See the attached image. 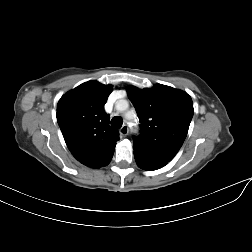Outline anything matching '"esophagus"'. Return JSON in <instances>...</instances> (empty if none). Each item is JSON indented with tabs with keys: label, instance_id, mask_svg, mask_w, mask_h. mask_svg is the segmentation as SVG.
I'll return each instance as SVG.
<instances>
[{
	"label": "esophagus",
	"instance_id": "1",
	"mask_svg": "<svg viewBox=\"0 0 252 252\" xmlns=\"http://www.w3.org/2000/svg\"><path fill=\"white\" fill-rule=\"evenodd\" d=\"M128 132H129L128 126H127L126 124H124V125L121 127V129H120V134H121L122 136H126V135L128 134Z\"/></svg>",
	"mask_w": 252,
	"mask_h": 252
}]
</instances>
